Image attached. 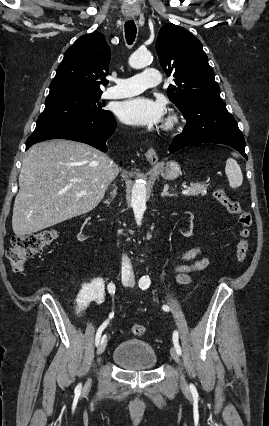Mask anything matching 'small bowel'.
I'll list each match as a JSON object with an SVG mask.
<instances>
[{
    "instance_id": "c3829d8e",
    "label": "small bowel",
    "mask_w": 269,
    "mask_h": 426,
    "mask_svg": "<svg viewBox=\"0 0 269 426\" xmlns=\"http://www.w3.org/2000/svg\"><path fill=\"white\" fill-rule=\"evenodd\" d=\"M199 253V250L194 248L181 254V263L176 267V277L180 283L188 284L191 281V273L202 269L206 265L207 260L204 257H200Z\"/></svg>"
}]
</instances>
